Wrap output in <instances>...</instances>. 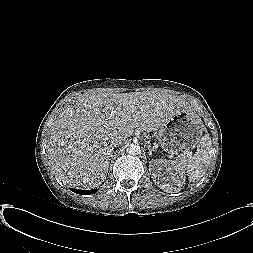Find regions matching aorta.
Masks as SVG:
<instances>
[{"mask_svg": "<svg viewBox=\"0 0 253 253\" xmlns=\"http://www.w3.org/2000/svg\"><path fill=\"white\" fill-rule=\"evenodd\" d=\"M126 151L130 155H137V154L140 153L141 149H140L139 144L131 143V144L128 145Z\"/></svg>", "mask_w": 253, "mask_h": 253, "instance_id": "762f6f07", "label": "aorta"}]
</instances>
